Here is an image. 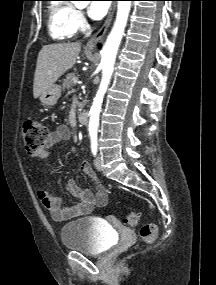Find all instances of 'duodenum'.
Returning <instances> with one entry per match:
<instances>
[{
  "label": "duodenum",
  "mask_w": 216,
  "mask_h": 285,
  "mask_svg": "<svg viewBox=\"0 0 216 285\" xmlns=\"http://www.w3.org/2000/svg\"><path fill=\"white\" fill-rule=\"evenodd\" d=\"M78 121L81 125H87L89 121V115L86 111H80L78 113Z\"/></svg>",
  "instance_id": "duodenum-1"
}]
</instances>
